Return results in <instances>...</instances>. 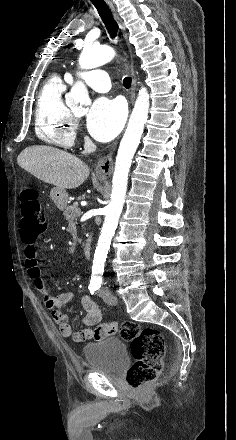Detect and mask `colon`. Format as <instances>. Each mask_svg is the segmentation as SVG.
Returning <instances> with one entry per match:
<instances>
[{
	"mask_svg": "<svg viewBox=\"0 0 236 440\" xmlns=\"http://www.w3.org/2000/svg\"><path fill=\"white\" fill-rule=\"evenodd\" d=\"M20 201L21 237L24 242L33 243L47 230L42 203L37 191L32 188H25L21 192ZM111 331L114 334L119 333L123 340L131 344L134 363L127 372L128 386L139 389L144 384L154 381L163 367L165 346L161 333L154 328H142L134 322H124Z\"/></svg>",
	"mask_w": 236,
	"mask_h": 440,
	"instance_id": "colon-1",
	"label": "colon"
}]
</instances>
